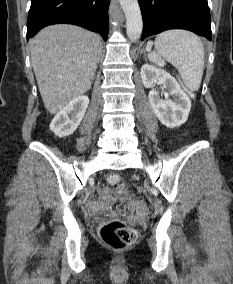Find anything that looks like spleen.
I'll return each mask as SVG.
<instances>
[{
  "instance_id": "1",
  "label": "spleen",
  "mask_w": 233,
  "mask_h": 284,
  "mask_svg": "<svg viewBox=\"0 0 233 284\" xmlns=\"http://www.w3.org/2000/svg\"><path fill=\"white\" fill-rule=\"evenodd\" d=\"M156 52L148 57L157 61L160 57L174 65L190 91L200 87L204 71V47L199 37L184 30H169L157 35L154 41Z\"/></svg>"
}]
</instances>
